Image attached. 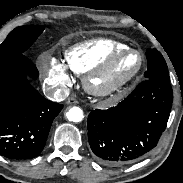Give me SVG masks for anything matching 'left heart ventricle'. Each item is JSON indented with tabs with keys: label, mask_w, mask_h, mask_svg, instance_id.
Listing matches in <instances>:
<instances>
[{
	"label": "left heart ventricle",
	"mask_w": 183,
	"mask_h": 183,
	"mask_svg": "<svg viewBox=\"0 0 183 183\" xmlns=\"http://www.w3.org/2000/svg\"><path fill=\"white\" fill-rule=\"evenodd\" d=\"M139 66V57L133 53H127L121 56L104 76L96 80V85L105 87L113 83H118L132 75Z\"/></svg>",
	"instance_id": "obj_1"
}]
</instances>
